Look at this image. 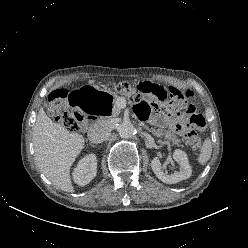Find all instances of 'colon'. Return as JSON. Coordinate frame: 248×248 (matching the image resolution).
I'll use <instances>...</instances> for the list:
<instances>
[{
  "mask_svg": "<svg viewBox=\"0 0 248 248\" xmlns=\"http://www.w3.org/2000/svg\"><path fill=\"white\" fill-rule=\"evenodd\" d=\"M115 90L128 94L137 104L143 102L159 103L166 105L171 111H182L188 116V126L191 130L190 144L193 149L201 145L195 131L205 127V118L195 110V106L187 101L188 93L176 88L166 89L151 83H139L133 87L127 82L115 85ZM70 93L65 89L53 91L49 96V110L51 115L71 132L81 129L83 116L86 113L75 110L69 101Z\"/></svg>",
  "mask_w": 248,
  "mask_h": 248,
  "instance_id": "obj_1",
  "label": "colon"
}]
</instances>
